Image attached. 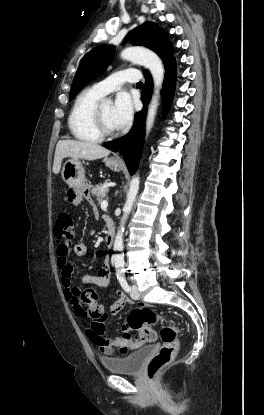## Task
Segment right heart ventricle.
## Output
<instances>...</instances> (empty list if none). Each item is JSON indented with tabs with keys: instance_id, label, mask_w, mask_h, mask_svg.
Here are the masks:
<instances>
[{
	"instance_id": "1",
	"label": "right heart ventricle",
	"mask_w": 264,
	"mask_h": 415,
	"mask_svg": "<svg viewBox=\"0 0 264 415\" xmlns=\"http://www.w3.org/2000/svg\"><path fill=\"white\" fill-rule=\"evenodd\" d=\"M100 98L101 96L92 90H85L76 97L68 117L69 130L76 140L83 142L101 140L92 122V112Z\"/></svg>"
}]
</instances>
